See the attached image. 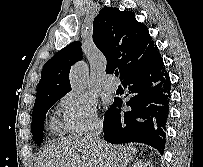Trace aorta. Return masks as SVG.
Here are the masks:
<instances>
[{
	"instance_id": "1",
	"label": "aorta",
	"mask_w": 203,
	"mask_h": 167,
	"mask_svg": "<svg viewBox=\"0 0 203 167\" xmlns=\"http://www.w3.org/2000/svg\"><path fill=\"white\" fill-rule=\"evenodd\" d=\"M71 86L76 92H85L88 85V69L83 63L75 65L70 75Z\"/></svg>"
}]
</instances>
